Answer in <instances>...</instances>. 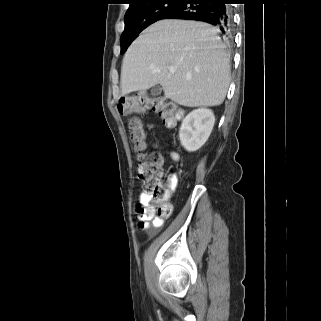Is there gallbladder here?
I'll return each instance as SVG.
<instances>
[{
    "label": "gallbladder",
    "mask_w": 321,
    "mask_h": 321,
    "mask_svg": "<svg viewBox=\"0 0 321 321\" xmlns=\"http://www.w3.org/2000/svg\"><path fill=\"white\" fill-rule=\"evenodd\" d=\"M162 92V87L160 85H155L151 88L150 94L153 97L159 96Z\"/></svg>",
    "instance_id": "bac80fb5"
}]
</instances>
